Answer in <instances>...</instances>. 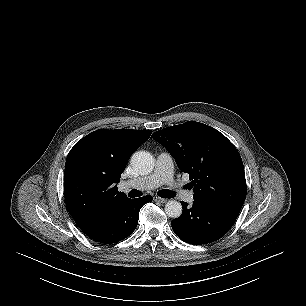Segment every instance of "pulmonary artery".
I'll list each match as a JSON object with an SVG mask.
<instances>
[{
	"label": "pulmonary artery",
	"instance_id": "pulmonary-artery-1",
	"mask_svg": "<svg viewBox=\"0 0 306 306\" xmlns=\"http://www.w3.org/2000/svg\"><path fill=\"white\" fill-rule=\"evenodd\" d=\"M167 184L172 187L183 201L192 203L194 200L193 191L185 190L173 178V159L167 152H161L156 159L154 171L146 176L135 180H129L122 183L124 188L134 187L142 189H154L160 185Z\"/></svg>",
	"mask_w": 306,
	"mask_h": 306
}]
</instances>
